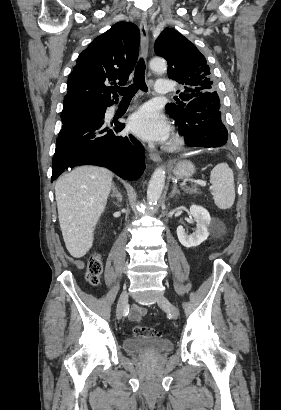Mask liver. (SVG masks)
Returning <instances> with one entry per match:
<instances>
[{
    "label": "liver",
    "mask_w": 281,
    "mask_h": 410,
    "mask_svg": "<svg viewBox=\"0 0 281 410\" xmlns=\"http://www.w3.org/2000/svg\"><path fill=\"white\" fill-rule=\"evenodd\" d=\"M112 177L108 169L81 166L55 184L60 228L66 248L75 258L83 257L92 247L94 228L105 210Z\"/></svg>",
    "instance_id": "6515ba94"
}]
</instances>
